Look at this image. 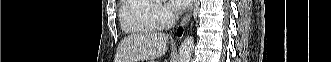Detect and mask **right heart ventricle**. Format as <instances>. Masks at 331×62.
<instances>
[{
  "label": "right heart ventricle",
  "instance_id": "right-heart-ventricle-1",
  "mask_svg": "<svg viewBox=\"0 0 331 62\" xmlns=\"http://www.w3.org/2000/svg\"><path fill=\"white\" fill-rule=\"evenodd\" d=\"M154 6L147 0H124L120 9V22L127 32L149 33L156 30L151 14Z\"/></svg>",
  "mask_w": 331,
  "mask_h": 62
}]
</instances>
